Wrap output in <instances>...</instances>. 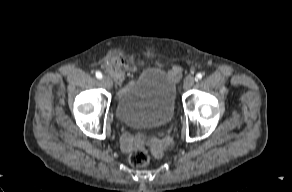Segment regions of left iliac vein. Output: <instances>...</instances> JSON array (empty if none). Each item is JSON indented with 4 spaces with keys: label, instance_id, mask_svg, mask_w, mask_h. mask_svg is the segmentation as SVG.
<instances>
[{
    "label": "left iliac vein",
    "instance_id": "obj_1",
    "mask_svg": "<svg viewBox=\"0 0 292 192\" xmlns=\"http://www.w3.org/2000/svg\"><path fill=\"white\" fill-rule=\"evenodd\" d=\"M195 83V78L192 75H188L185 79H184V83H183V88L185 90L191 88Z\"/></svg>",
    "mask_w": 292,
    "mask_h": 192
}]
</instances>
